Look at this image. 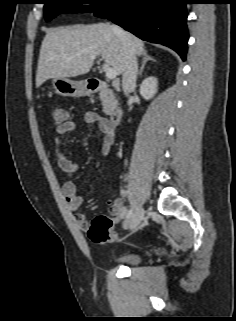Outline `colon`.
I'll use <instances>...</instances> for the list:
<instances>
[{
  "mask_svg": "<svg viewBox=\"0 0 236 321\" xmlns=\"http://www.w3.org/2000/svg\"><path fill=\"white\" fill-rule=\"evenodd\" d=\"M52 119L56 126L67 121V113L60 106L52 108ZM114 220L106 215L96 216L87 227L88 237L95 243H113L118 240V234L113 229Z\"/></svg>",
  "mask_w": 236,
  "mask_h": 321,
  "instance_id": "5ec220e1",
  "label": "colon"
}]
</instances>
